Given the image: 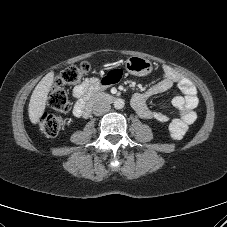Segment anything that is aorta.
Instances as JSON below:
<instances>
[{
	"label": "aorta",
	"instance_id": "762f6f07",
	"mask_svg": "<svg viewBox=\"0 0 227 227\" xmlns=\"http://www.w3.org/2000/svg\"><path fill=\"white\" fill-rule=\"evenodd\" d=\"M125 103H124V100L121 99V98H117L115 101H114V107L116 109H122L124 107Z\"/></svg>",
	"mask_w": 227,
	"mask_h": 227
}]
</instances>
